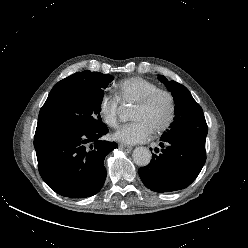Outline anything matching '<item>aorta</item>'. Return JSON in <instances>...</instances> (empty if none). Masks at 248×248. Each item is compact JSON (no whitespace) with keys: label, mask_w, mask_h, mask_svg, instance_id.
<instances>
[{"label":"aorta","mask_w":248,"mask_h":248,"mask_svg":"<svg viewBox=\"0 0 248 248\" xmlns=\"http://www.w3.org/2000/svg\"><path fill=\"white\" fill-rule=\"evenodd\" d=\"M130 118V114L127 111H123L120 114L122 121H127ZM133 160L138 166H147L152 158L151 152L146 147H137L132 154Z\"/></svg>","instance_id":"aorta-1"}]
</instances>
